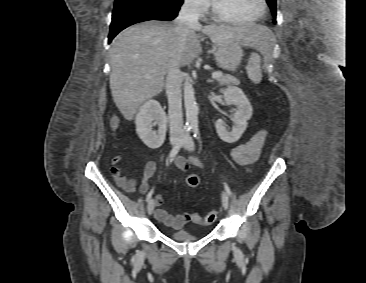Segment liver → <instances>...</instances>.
<instances>
[{
	"mask_svg": "<svg viewBox=\"0 0 366 283\" xmlns=\"http://www.w3.org/2000/svg\"><path fill=\"white\" fill-rule=\"evenodd\" d=\"M174 22L146 21L124 29L110 48V89L122 115L132 120L137 108L162 92L170 60L179 55L181 67L190 66L202 51L196 31L206 34L213 45L238 42L265 49L271 31L249 23L237 25H197L189 29L179 46Z\"/></svg>",
	"mask_w": 366,
	"mask_h": 283,
	"instance_id": "6515ba94",
	"label": "liver"
}]
</instances>
